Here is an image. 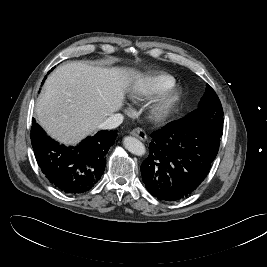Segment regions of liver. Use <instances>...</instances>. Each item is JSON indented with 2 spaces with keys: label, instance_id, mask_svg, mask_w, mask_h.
Here are the masks:
<instances>
[{
  "label": "liver",
  "instance_id": "1",
  "mask_svg": "<svg viewBox=\"0 0 267 267\" xmlns=\"http://www.w3.org/2000/svg\"><path fill=\"white\" fill-rule=\"evenodd\" d=\"M139 73L123 68L93 67L71 62L47 78L36 104L40 125L55 140L77 144L123 106Z\"/></svg>",
  "mask_w": 267,
  "mask_h": 267
}]
</instances>
